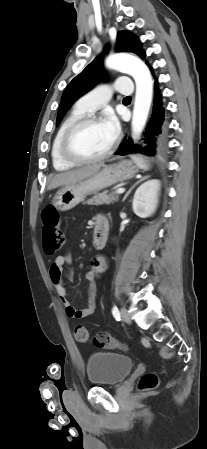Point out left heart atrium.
<instances>
[{"mask_svg":"<svg viewBox=\"0 0 207 449\" xmlns=\"http://www.w3.org/2000/svg\"><path fill=\"white\" fill-rule=\"evenodd\" d=\"M102 123L112 142L115 141L120 132L118 119L113 114H109Z\"/></svg>","mask_w":207,"mask_h":449,"instance_id":"39dd6f15","label":"left heart atrium"}]
</instances>
